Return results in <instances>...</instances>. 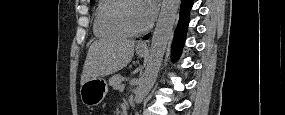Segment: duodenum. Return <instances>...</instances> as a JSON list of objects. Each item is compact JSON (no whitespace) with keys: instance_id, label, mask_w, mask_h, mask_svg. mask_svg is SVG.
<instances>
[{"instance_id":"1","label":"duodenum","mask_w":285,"mask_h":115,"mask_svg":"<svg viewBox=\"0 0 285 115\" xmlns=\"http://www.w3.org/2000/svg\"><path fill=\"white\" fill-rule=\"evenodd\" d=\"M124 110H125V108L123 109V111H124ZM123 114H126V113L123 112Z\"/></svg>"}]
</instances>
